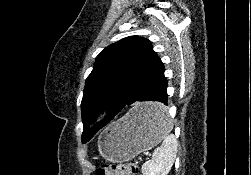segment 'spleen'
<instances>
[{
    "mask_svg": "<svg viewBox=\"0 0 251 175\" xmlns=\"http://www.w3.org/2000/svg\"><path fill=\"white\" fill-rule=\"evenodd\" d=\"M154 121L160 123L164 131V141L160 147H156L153 153V159L143 163L141 171L143 175H167L169 173L177 155V139L174 133H170L173 125L166 115L164 109L153 111Z\"/></svg>",
    "mask_w": 251,
    "mask_h": 175,
    "instance_id": "spleen-1",
    "label": "spleen"
}]
</instances>
